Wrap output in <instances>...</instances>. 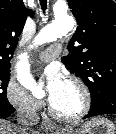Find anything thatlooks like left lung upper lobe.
Wrapping results in <instances>:
<instances>
[{
    "instance_id": "1",
    "label": "left lung upper lobe",
    "mask_w": 116,
    "mask_h": 134,
    "mask_svg": "<svg viewBox=\"0 0 116 134\" xmlns=\"http://www.w3.org/2000/svg\"><path fill=\"white\" fill-rule=\"evenodd\" d=\"M78 27L68 44L65 66L91 94V105L116 102V3L67 0Z\"/></svg>"
}]
</instances>
